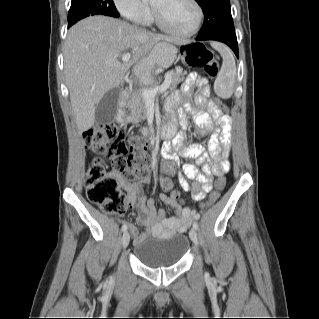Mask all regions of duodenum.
Returning a JSON list of instances; mask_svg holds the SVG:
<instances>
[{
  "mask_svg": "<svg viewBox=\"0 0 319 319\" xmlns=\"http://www.w3.org/2000/svg\"><path fill=\"white\" fill-rule=\"evenodd\" d=\"M129 103V95L126 91L122 93L117 103L116 121L120 124L127 123L126 107ZM176 123L170 122L168 125L158 128L156 126H148L144 128V133L148 140L157 136L172 137L175 134Z\"/></svg>",
  "mask_w": 319,
  "mask_h": 319,
  "instance_id": "obj_1",
  "label": "duodenum"
}]
</instances>
